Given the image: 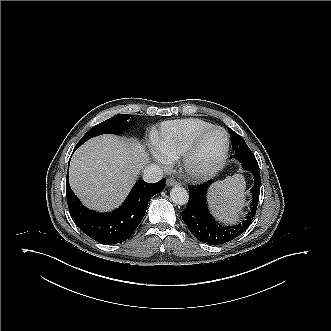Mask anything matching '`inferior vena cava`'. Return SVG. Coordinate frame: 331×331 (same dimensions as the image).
Listing matches in <instances>:
<instances>
[{"label": "inferior vena cava", "instance_id": "inferior-vena-cava-1", "mask_svg": "<svg viewBox=\"0 0 331 331\" xmlns=\"http://www.w3.org/2000/svg\"><path fill=\"white\" fill-rule=\"evenodd\" d=\"M142 172V178L147 183H156L163 178V170L156 164H148Z\"/></svg>", "mask_w": 331, "mask_h": 331}]
</instances>
